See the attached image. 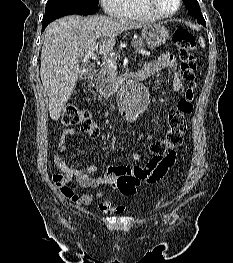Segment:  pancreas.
I'll return each mask as SVG.
<instances>
[{"label":"pancreas","instance_id":"obj_1","mask_svg":"<svg viewBox=\"0 0 233 263\" xmlns=\"http://www.w3.org/2000/svg\"><path fill=\"white\" fill-rule=\"evenodd\" d=\"M132 46L136 50H142L145 47L141 39H134ZM112 58L116 60V56ZM115 72L106 62L101 65V70L95 78V89L101 98L107 99L115 92V88L110 84L115 77Z\"/></svg>","mask_w":233,"mask_h":263}]
</instances>
